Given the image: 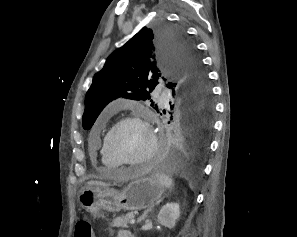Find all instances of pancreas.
Wrapping results in <instances>:
<instances>
[{"label": "pancreas", "instance_id": "pancreas-1", "mask_svg": "<svg viewBox=\"0 0 297 237\" xmlns=\"http://www.w3.org/2000/svg\"><path fill=\"white\" fill-rule=\"evenodd\" d=\"M132 218H134V214L132 212L119 216L112 221L111 226L116 228H127L128 223Z\"/></svg>", "mask_w": 297, "mask_h": 237}]
</instances>
